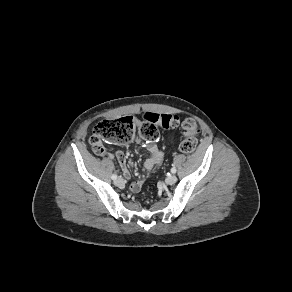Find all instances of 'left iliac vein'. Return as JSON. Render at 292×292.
I'll list each match as a JSON object with an SVG mask.
<instances>
[{
    "label": "left iliac vein",
    "instance_id": "1",
    "mask_svg": "<svg viewBox=\"0 0 292 292\" xmlns=\"http://www.w3.org/2000/svg\"><path fill=\"white\" fill-rule=\"evenodd\" d=\"M176 181H177V177H176L175 175L168 176V177L165 179V182H166V184H168V185H172V184H174Z\"/></svg>",
    "mask_w": 292,
    "mask_h": 292
}]
</instances>
